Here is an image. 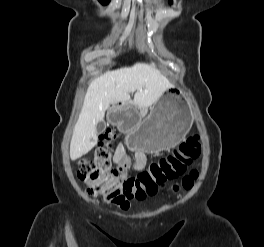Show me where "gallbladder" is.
Segmentation results:
<instances>
[{"instance_id": "gallbladder-1", "label": "gallbladder", "mask_w": 264, "mask_h": 247, "mask_svg": "<svg viewBox=\"0 0 264 247\" xmlns=\"http://www.w3.org/2000/svg\"><path fill=\"white\" fill-rule=\"evenodd\" d=\"M105 126H106L105 121L103 120L98 121L95 133H101L102 131H104V129L106 128Z\"/></svg>"}]
</instances>
